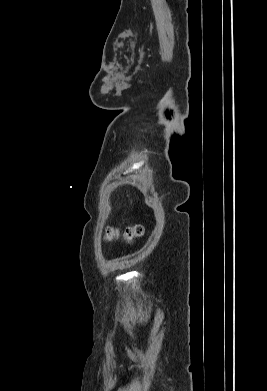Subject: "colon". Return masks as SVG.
Instances as JSON below:
<instances>
[{"label": "colon", "instance_id": "1", "mask_svg": "<svg viewBox=\"0 0 267 391\" xmlns=\"http://www.w3.org/2000/svg\"><path fill=\"white\" fill-rule=\"evenodd\" d=\"M143 234V228L140 225H135L132 227L127 228L121 235V237L127 241V242H132L134 239L140 237ZM119 234L117 231L114 229H109L107 231V237L109 239H114L118 237Z\"/></svg>", "mask_w": 267, "mask_h": 391}]
</instances>
